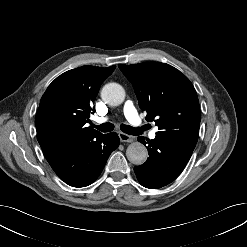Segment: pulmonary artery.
Segmentation results:
<instances>
[{"label":"pulmonary artery","instance_id":"e3ab8cb5","mask_svg":"<svg viewBox=\"0 0 247 247\" xmlns=\"http://www.w3.org/2000/svg\"><path fill=\"white\" fill-rule=\"evenodd\" d=\"M124 115L126 119L131 123L134 127L136 128H141L143 127V121L141 117L139 116L137 109L132 101H127L124 104ZM106 119L105 118H98L96 121L98 123L104 122ZM157 129H153L149 132V138L154 139L156 137Z\"/></svg>","mask_w":247,"mask_h":247}]
</instances>
